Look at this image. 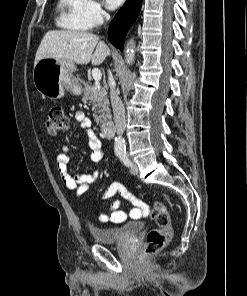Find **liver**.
<instances>
[{
  "label": "liver",
  "mask_w": 247,
  "mask_h": 296,
  "mask_svg": "<svg viewBox=\"0 0 247 296\" xmlns=\"http://www.w3.org/2000/svg\"><path fill=\"white\" fill-rule=\"evenodd\" d=\"M109 54V47L92 33L53 30L44 35L36 52L34 64L43 58H53L81 65L91 61L93 65H99Z\"/></svg>",
  "instance_id": "1"
}]
</instances>
